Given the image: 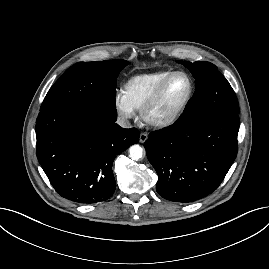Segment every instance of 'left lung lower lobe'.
Listing matches in <instances>:
<instances>
[{"instance_id": "1", "label": "left lung lower lobe", "mask_w": 269, "mask_h": 269, "mask_svg": "<svg viewBox=\"0 0 269 269\" xmlns=\"http://www.w3.org/2000/svg\"><path fill=\"white\" fill-rule=\"evenodd\" d=\"M239 116L217 112L150 133L144 146L163 198L189 203L214 192L234 162Z\"/></svg>"}]
</instances>
